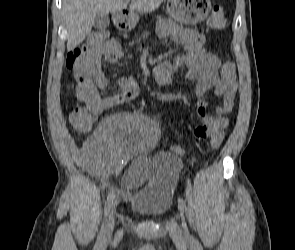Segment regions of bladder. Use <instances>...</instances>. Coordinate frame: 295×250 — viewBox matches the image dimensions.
<instances>
[{"mask_svg": "<svg viewBox=\"0 0 295 250\" xmlns=\"http://www.w3.org/2000/svg\"><path fill=\"white\" fill-rule=\"evenodd\" d=\"M148 169L152 171L151 180L133 191L129 207L146 218H158L172 206L180 162L175 155L163 151L151 158Z\"/></svg>", "mask_w": 295, "mask_h": 250, "instance_id": "1", "label": "bladder"}]
</instances>
